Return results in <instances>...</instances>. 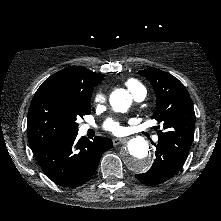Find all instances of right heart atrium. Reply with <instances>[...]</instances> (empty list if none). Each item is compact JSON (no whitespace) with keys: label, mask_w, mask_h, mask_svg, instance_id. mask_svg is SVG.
Here are the masks:
<instances>
[{"label":"right heart atrium","mask_w":221,"mask_h":221,"mask_svg":"<svg viewBox=\"0 0 221 221\" xmlns=\"http://www.w3.org/2000/svg\"><path fill=\"white\" fill-rule=\"evenodd\" d=\"M106 100V96L103 92H98L96 93L95 97H94V101L97 104H102L104 103Z\"/></svg>","instance_id":"obj_1"}]
</instances>
